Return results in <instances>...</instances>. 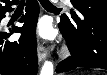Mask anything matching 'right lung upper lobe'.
<instances>
[{
	"label": "right lung upper lobe",
	"instance_id": "1",
	"mask_svg": "<svg viewBox=\"0 0 107 75\" xmlns=\"http://www.w3.org/2000/svg\"><path fill=\"white\" fill-rule=\"evenodd\" d=\"M12 1H18V0H12ZM2 2H4V3L6 4V3H9L10 0H3ZM2 7H3V6L0 4V9H1Z\"/></svg>",
	"mask_w": 107,
	"mask_h": 75
}]
</instances>
